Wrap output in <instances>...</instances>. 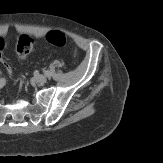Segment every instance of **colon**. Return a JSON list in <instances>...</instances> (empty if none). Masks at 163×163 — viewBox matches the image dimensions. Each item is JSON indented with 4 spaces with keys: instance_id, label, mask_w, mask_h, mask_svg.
Here are the masks:
<instances>
[{
    "instance_id": "5ec220e1",
    "label": "colon",
    "mask_w": 163,
    "mask_h": 163,
    "mask_svg": "<svg viewBox=\"0 0 163 163\" xmlns=\"http://www.w3.org/2000/svg\"><path fill=\"white\" fill-rule=\"evenodd\" d=\"M46 40L50 44L59 46V47H62L66 45L67 43L66 35L60 30L50 31L46 35ZM34 45H35V41L33 38L27 35L21 36L16 45V54L18 58L21 60H24L33 50ZM3 49H4V43L2 39H0V65H3L6 68V70L9 73H11V68L9 67L8 63L6 62L3 56ZM75 56H76V52H75Z\"/></svg>"
}]
</instances>
